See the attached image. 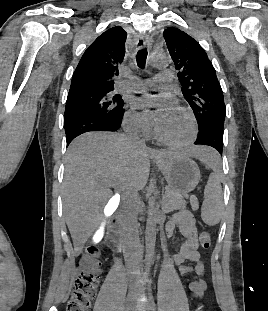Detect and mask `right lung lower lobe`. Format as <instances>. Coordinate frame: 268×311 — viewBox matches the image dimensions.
<instances>
[{"instance_id": "obj_1", "label": "right lung lower lobe", "mask_w": 268, "mask_h": 311, "mask_svg": "<svg viewBox=\"0 0 268 311\" xmlns=\"http://www.w3.org/2000/svg\"><path fill=\"white\" fill-rule=\"evenodd\" d=\"M124 109L118 117L104 118L87 113H78L64 122L67 145L77 136L89 131H116L120 128Z\"/></svg>"}]
</instances>
